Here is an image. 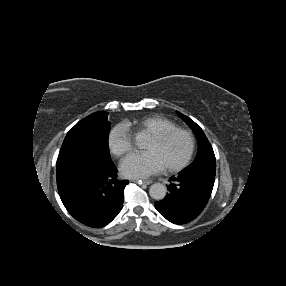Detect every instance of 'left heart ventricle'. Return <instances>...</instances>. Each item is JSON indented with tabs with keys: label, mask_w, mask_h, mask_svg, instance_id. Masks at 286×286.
Returning <instances> with one entry per match:
<instances>
[{
	"label": "left heart ventricle",
	"mask_w": 286,
	"mask_h": 286,
	"mask_svg": "<svg viewBox=\"0 0 286 286\" xmlns=\"http://www.w3.org/2000/svg\"><path fill=\"white\" fill-rule=\"evenodd\" d=\"M189 148L190 138L184 132L176 133L161 142L149 138L144 144V149L153 152L163 168L182 161Z\"/></svg>",
	"instance_id": "left-heart-ventricle-1"
}]
</instances>
